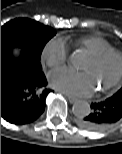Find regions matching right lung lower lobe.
<instances>
[{"instance_id":"98d812e1","label":"right lung lower lobe","mask_w":122,"mask_h":154,"mask_svg":"<svg viewBox=\"0 0 122 154\" xmlns=\"http://www.w3.org/2000/svg\"><path fill=\"white\" fill-rule=\"evenodd\" d=\"M44 73L23 54L14 59L1 50V117L22 125L35 121L45 109L50 92Z\"/></svg>"}]
</instances>
